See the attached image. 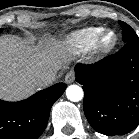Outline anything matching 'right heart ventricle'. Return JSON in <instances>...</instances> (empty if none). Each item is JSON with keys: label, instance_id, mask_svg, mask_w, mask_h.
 Instances as JSON below:
<instances>
[{"label": "right heart ventricle", "instance_id": "obj_1", "mask_svg": "<svg viewBox=\"0 0 139 139\" xmlns=\"http://www.w3.org/2000/svg\"><path fill=\"white\" fill-rule=\"evenodd\" d=\"M102 31V27L83 28L71 33L65 42L75 53H86L93 48L97 36Z\"/></svg>", "mask_w": 139, "mask_h": 139}]
</instances>
